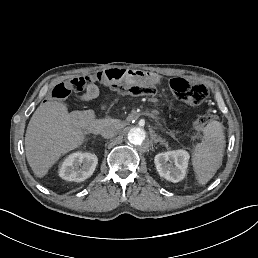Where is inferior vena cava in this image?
<instances>
[{"label":"inferior vena cava","mask_w":258,"mask_h":258,"mask_svg":"<svg viewBox=\"0 0 258 258\" xmlns=\"http://www.w3.org/2000/svg\"><path fill=\"white\" fill-rule=\"evenodd\" d=\"M117 132H118V129L114 124H108L102 128L101 135L104 138H112L117 134Z\"/></svg>","instance_id":"602c4592"}]
</instances>
